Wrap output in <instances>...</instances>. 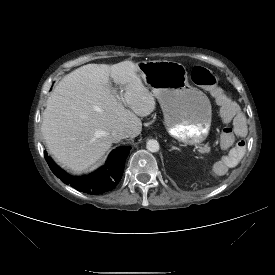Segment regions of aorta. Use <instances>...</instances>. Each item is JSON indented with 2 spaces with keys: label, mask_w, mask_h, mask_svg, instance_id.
<instances>
[{
  "label": "aorta",
  "mask_w": 275,
  "mask_h": 275,
  "mask_svg": "<svg viewBox=\"0 0 275 275\" xmlns=\"http://www.w3.org/2000/svg\"><path fill=\"white\" fill-rule=\"evenodd\" d=\"M146 148L150 152H158L159 151V143L156 140H148L146 144Z\"/></svg>",
  "instance_id": "obj_1"
}]
</instances>
